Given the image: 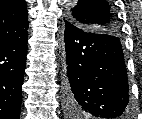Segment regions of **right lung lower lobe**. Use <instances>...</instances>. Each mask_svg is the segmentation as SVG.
<instances>
[{
  "instance_id": "98d812e1",
  "label": "right lung lower lobe",
  "mask_w": 142,
  "mask_h": 119,
  "mask_svg": "<svg viewBox=\"0 0 142 119\" xmlns=\"http://www.w3.org/2000/svg\"><path fill=\"white\" fill-rule=\"evenodd\" d=\"M28 33L0 43V119H19Z\"/></svg>"
}]
</instances>
